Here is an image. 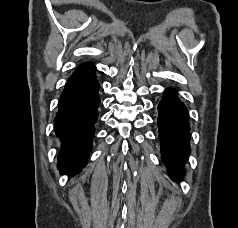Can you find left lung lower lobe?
<instances>
[{"instance_id":"obj_1","label":"left lung lower lobe","mask_w":238,"mask_h":228,"mask_svg":"<svg viewBox=\"0 0 238 228\" xmlns=\"http://www.w3.org/2000/svg\"><path fill=\"white\" fill-rule=\"evenodd\" d=\"M158 111L162 160L172 179L177 181L183 174V166L190 153L188 111L173 88L165 91Z\"/></svg>"}]
</instances>
